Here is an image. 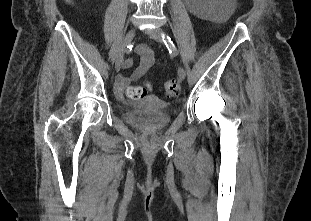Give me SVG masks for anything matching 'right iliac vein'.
Here are the masks:
<instances>
[{"label": "right iliac vein", "instance_id": "obj_1", "mask_svg": "<svg viewBox=\"0 0 311 221\" xmlns=\"http://www.w3.org/2000/svg\"><path fill=\"white\" fill-rule=\"evenodd\" d=\"M135 29H131L128 31V33L126 34L125 38H124V42L122 44V47L118 53L117 59H116V63H115V68L117 71L120 70V67L122 66L123 60H124V55L127 51L128 46L131 44V42L133 41L134 37H135Z\"/></svg>", "mask_w": 311, "mask_h": 221}]
</instances>
